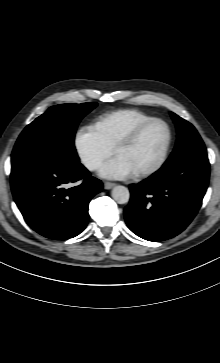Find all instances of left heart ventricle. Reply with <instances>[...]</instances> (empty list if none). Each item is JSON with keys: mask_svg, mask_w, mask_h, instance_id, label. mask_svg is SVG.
<instances>
[{"mask_svg": "<svg viewBox=\"0 0 220 363\" xmlns=\"http://www.w3.org/2000/svg\"><path fill=\"white\" fill-rule=\"evenodd\" d=\"M167 141V132L162 124L147 127L130 145L119 149L122 157L134 170L139 172L153 166L160 158Z\"/></svg>", "mask_w": 220, "mask_h": 363, "instance_id": "obj_1", "label": "left heart ventricle"}]
</instances>
